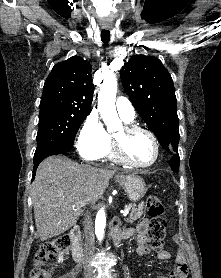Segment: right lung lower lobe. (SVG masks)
Masks as SVG:
<instances>
[{
    "instance_id": "obj_1",
    "label": "right lung lower lobe",
    "mask_w": 221,
    "mask_h": 278,
    "mask_svg": "<svg viewBox=\"0 0 221 278\" xmlns=\"http://www.w3.org/2000/svg\"><path fill=\"white\" fill-rule=\"evenodd\" d=\"M72 146H73L72 143H60V144L51 145L45 149H42L39 152H35L32 180L35 177L36 169H37L38 165L44 158L51 156V155L66 153L67 151H69L72 148Z\"/></svg>"
}]
</instances>
